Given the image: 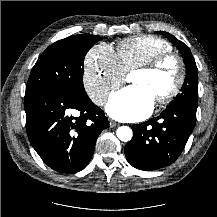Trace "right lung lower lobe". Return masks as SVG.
Wrapping results in <instances>:
<instances>
[{
    "instance_id": "right-lung-lower-lobe-1",
    "label": "right lung lower lobe",
    "mask_w": 217,
    "mask_h": 217,
    "mask_svg": "<svg viewBox=\"0 0 217 217\" xmlns=\"http://www.w3.org/2000/svg\"><path fill=\"white\" fill-rule=\"evenodd\" d=\"M26 131L43 162L60 173H76L90 161L99 134L109 127L88 97L67 91L25 95Z\"/></svg>"
}]
</instances>
